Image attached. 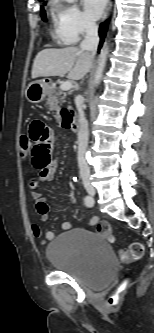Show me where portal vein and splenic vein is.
<instances>
[{
  "label": "portal vein and splenic vein",
  "instance_id": "obj_1",
  "mask_svg": "<svg viewBox=\"0 0 154 333\" xmlns=\"http://www.w3.org/2000/svg\"><path fill=\"white\" fill-rule=\"evenodd\" d=\"M72 88V82L71 81H65L60 85V89L62 91H67Z\"/></svg>",
  "mask_w": 154,
  "mask_h": 333
}]
</instances>
